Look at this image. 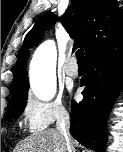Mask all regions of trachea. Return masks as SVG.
Wrapping results in <instances>:
<instances>
[{"instance_id":"obj_1","label":"trachea","mask_w":123,"mask_h":152,"mask_svg":"<svg viewBox=\"0 0 123 152\" xmlns=\"http://www.w3.org/2000/svg\"><path fill=\"white\" fill-rule=\"evenodd\" d=\"M76 58H77V63H78V64H85L84 50H83V49H79V50L76 52Z\"/></svg>"}]
</instances>
